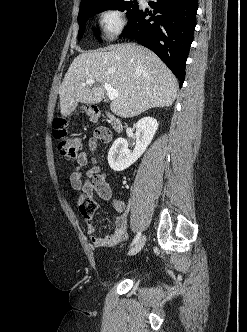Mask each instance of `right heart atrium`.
Wrapping results in <instances>:
<instances>
[{"mask_svg": "<svg viewBox=\"0 0 247 332\" xmlns=\"http://www.w3.org/2000/svg\"><path fill=\"white\" fill-rule=\"evenodd\" d=\"M126 19L123 12L115 7L103 10L99 14V26L106 40H113L124 30Z\"/></svg>", "mask_w": 247, "mask_h": 332, "instance_id": "right-heart-atrium-1", "label": "right heart atrium"}]
</instances>
